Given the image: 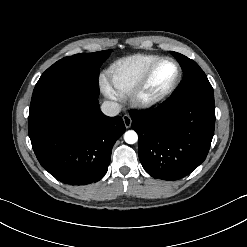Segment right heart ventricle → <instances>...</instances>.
<instances>
[{"label": "right heart ventricle", "mask_w": 247, "mask_h": 247, "mask_svg": "<svg viewBox=\"0 0 247 247\" xmlns=\"http://www.w3.org/2000/svg\"><path fill=\"white\" fill-rule=\"evenodd\" d=\"M160 57L156 54H134L115 61L107 70L111 87L119 95L129 94L146 69Z\"/></svg>", "instance_id": "1"}]
</instances>
